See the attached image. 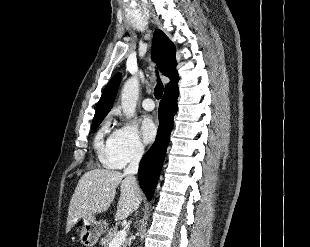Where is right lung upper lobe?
Wrapping results in <instances>:
<instances>
[{
	"label": "right lung upper lobe",
	"mask_w": 310,
	"mask_h": 247,
	"mask_svg": "<svg viewBox=\"0 0 310 247\" xmlns=\"http://www.w3.org/2000/svg\"><path fill=\"white\" fill-rule=\"evenodd\" d=\"M152 45L153 53L160 72L171 79L165 87V90L177 86L179 77L175 69L177 62L175 58L176 51L173 43L161 30H156L153 36ZM120 79L121 75L117 73L105 87L97 104L93 121L100 117H105L109 113L116 97Z\"/></svg>",
	"instance_id": "cb5924a9"
}]
</instances>
